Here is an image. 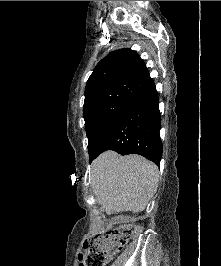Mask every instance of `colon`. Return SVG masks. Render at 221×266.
Masks as SVG:
<instances>
[{
	"instance_id": "5ec220e1",
	"label": "colon",
	"mask_w": 221,
	"mask_h": 266,
	"mask_svg": "<svg viewBox=\"0 0 221 266\" xmlns=\"http://www.w3.org/2000/svg\"><path fill=\"white\" fill-rule=\"evenodd\" d=\"M137 230V226L126 225L90 237L84 245L83 262L86 266H105Z\"/></svg>"
}]
</instances>
